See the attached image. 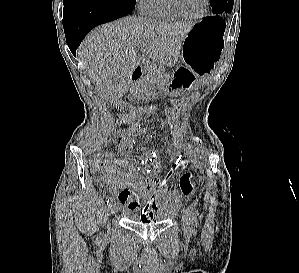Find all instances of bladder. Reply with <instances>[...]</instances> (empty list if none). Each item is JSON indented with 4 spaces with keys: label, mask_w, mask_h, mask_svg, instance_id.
<instances>
[{
    "label": "bladder",
    "mask_w": 299,
    "mask_h": 273,
    "mask_svg": "<svg viewBox=\"0 0 299 273\" xmlns=\"http://www.w3.org/2000/svg\"><path fill=\"white\" fill-rule=\"evenodd\" d=\"M171 210H157L153 214V219L150 221H143L140 219L138 213L127 211L124 216L131 222H140L143 224H161L169 219Z\"/></svg>",
    "instance_id": "bladder-1"
}]
</instances>
